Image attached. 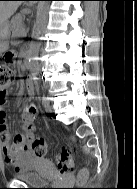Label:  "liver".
I'll list each match as a JSON object with an SVG mask.
<instances>
[{
	"instance_id": "liver-1",
	"label": "liver",
	"mask_w": 137,
	"mask_h": 189,
	"mask_svg": "<svg viewBox=\"0 0 137 189\" xmlns=\"http://www.w3.org/2000/svg\"><path fill=\"white\" fill-rule=\"evenodd\" d=\"M21 5V1H0V29Z\"/></svg>"
}]
</instances>
